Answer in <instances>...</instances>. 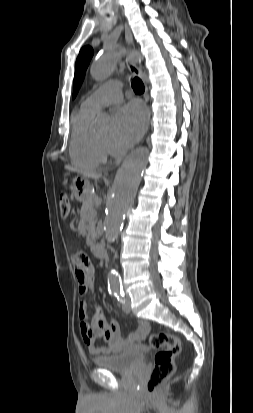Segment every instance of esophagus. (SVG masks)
I'll list each match as a JSON object with an SVG mask.
<instances>
[{
    "mask_svg": "<svg viewBox=\"0 0 253 413\" xmlns=\"http://www.w3.org/2000/svg\"><path fill=\"white\" fill-rule=\"evenodd\" d=\"M125 39L128 45L133 44V38H132V33L128 26H125ZM127 67L128 70L130 71L131 74L141 77L142 75V70L141 68L137 65V63L132 59L131 56L127 57Z\"/></svg>",
    "mask_w": 253,
    "mask_h": 413,
    "instance_id": "34e87169",
    "label": "esophagus"
}]
</instances>
